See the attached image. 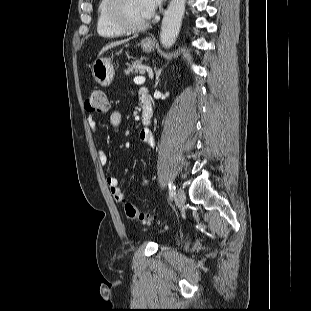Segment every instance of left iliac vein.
<instances>
[{"label": "left iliac vein", "mask_w": 311, "mask_h": 311, "mask_svg": "<svg viewBox=\"0 0 311 311\" xmlns=\"http://www.w3.org/2000/svg\"><path fill=\"white\" fill-rule=\"evenodd\" d=\"M186 200V195L183 189H178L176 193V201L179 206L183 205Z\"/></svg>", "instance_id": "left-iliac-vein-1"}]
</instances>
